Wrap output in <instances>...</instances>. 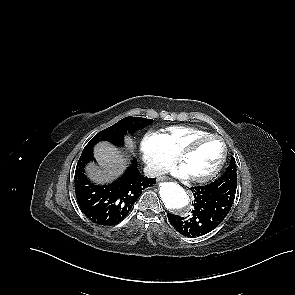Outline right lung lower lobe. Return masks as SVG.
Segmentation results:
<instances>
[{
	"mask_svg": "<svg viewBox=\"0 0 295 295\" xmlns=\"http://www.w3.org/2000/svg\"><path fill=\"white\" fill-rule=\"evenodd\" d=\"M95 161L93 152L80 157L75 170V193L83 213L94 223L110 226L121 222L142 194L156 183L155 178L140 174L136 160L115 182L96 185L85 175V165Z\"/></svg>",
	"mask_w": 295,
	"mask_h": 295,
	"instance_id": "1",
	"label": "right lung lower lobe"
}]
</instances>
